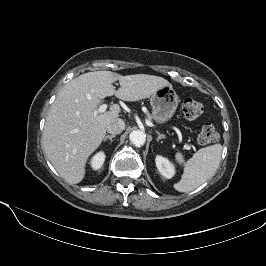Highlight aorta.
<instances>
[{
  "label": "aorta",
  "mask_w": 266,
  "mask_h": 266,
  "mask_svg": "<svg viewBox=\"0 0 266 266\" xmlns=\"http://www.w3.org/2000/svg\"><path fill=\"white\" fill-rule=\"evenodd\" d=\"M130 141L135 146H142L145 144L146 135L140 130H134L130 133Z\"/></svg>",
  "instance_id": "1"
}]
</instances>
